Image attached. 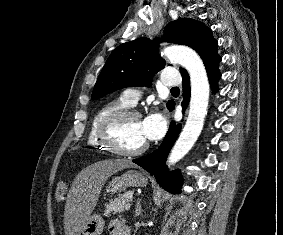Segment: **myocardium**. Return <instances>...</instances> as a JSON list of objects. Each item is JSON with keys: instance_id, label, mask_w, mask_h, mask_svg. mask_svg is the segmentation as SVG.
<instances>
[{"instance_id": "f54148a6", "label": "myocardium", "mask_w": 283, "mask_h": 235, "mask_svg": "<svg viewBox=\"0 0 283 235\" xmlns=\"http://www.w3.org/2000/svg\"><path fill=\"white\" fill-rule=\"evenodd\" d=\"M140 118L139 111L132 108H124L117 110L108 116H106L98 128V138L103 147L112 154L124 157H135L143 154L149 146L148 142H145L142 146L135 150H124L117 146L113 138V132L115 128L124 120L129 118Z\"/></svg>"}]
</instances>
